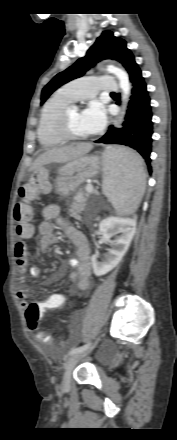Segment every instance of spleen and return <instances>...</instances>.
Instances as JSON below:
<instances>
[{"label":"spleen","mask_w":177,"mask_h":440,"mask_svg":"<svg viewBox=\"0 0 177 440\" xmlns=\"http://www.w3.org/2000/svg\"><path fill=\"white\" fill-rule=\"evenodd\" d=\"M111 157L104 159L103 193L119 214H131L139 206L145 190L142 158L134 151L111 148Z\"/></svg>","instance_id":"1"}]
</instances>
